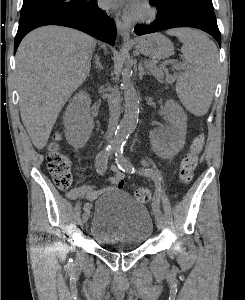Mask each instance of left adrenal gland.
I'll list each match as a JSON object with an SVG mask.
<instances>
[{"instance_id":"left-adrenal-gland-1","label":"left adrenal gland","mask_w":245,"mask_h":300,"mask_svg":"<svg viewBox=\"0 0 245 300\" xmlns=\"http://www.w3.org/2000/svg\"><path fill=\"white\" fill-rule=\"evenodd\" d=\"M138 70H139V79L140 80L143 79V76L150 75V73L148 71H145L141 61L138 64Z\"/></svg>"}]
</instances>
